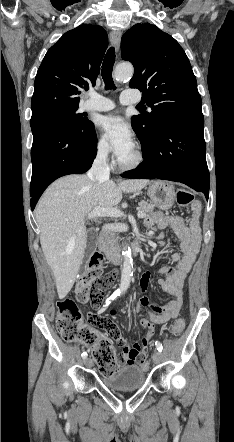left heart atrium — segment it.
Wrapping results in <instances>:
<instances>
[{
    "label": "left heart atrium",
    "instance_id": "left-heart-atrium-1",
    "mask_svg": "<svg viewBox=\"0 0 234 442\" xmlns=\"http://www.w3.org/2000/svg\"><path fill=\"white\" fill-rule=\"evenodd\" d=\"M102 131L111 142L118 159L128 154L135 147L132 130L122 117H105L102 121Z\"/></svg>",
    "mask_w": 234,
    "mask_h": 442
}]
</instances>
